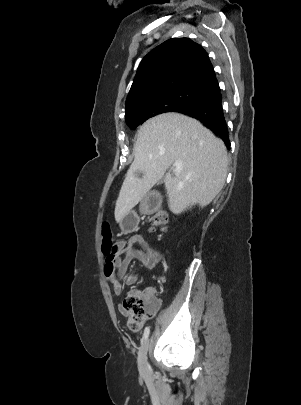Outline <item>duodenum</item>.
<instances>
[{"mask_svg": "<svg viewBox=\"0 0 301 405\" xmlns=\"http://www.w3.org/2000/svg\"><path fill=\"white\" fill-rule=\"evenodd\" d=\"M142 211L148 217L149 213H159L163 206V201L159 194H146L145 199L141 200Z\"/></svg>", "mask_w": 301, "mask_h": 405, "instance_id": "1", "label": "duodenum"}]
</instances>
